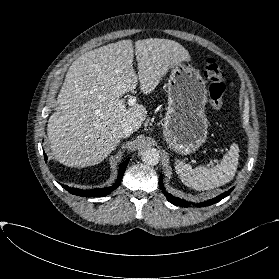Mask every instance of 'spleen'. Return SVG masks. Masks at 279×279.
<instances>
[{
  "label": "spleen",
  "mask_w": 279,
  "mask_h": 279,
  "mask_svg": "<svg viewBox=\"0 0 279 279\" xmlns=\"http://www.w3.org/2000/svg\"><path fill=\"white\" fill-rule=\"evenodd\" d=\"M239 157V147L232 144L221 163L213 168L200 166L195 169L188 164L176 162V172L182 182L195 190H211L230 182L235 176Z\"/></svg>",
  "instance_id": "spleen-1"
}]
</instances>
